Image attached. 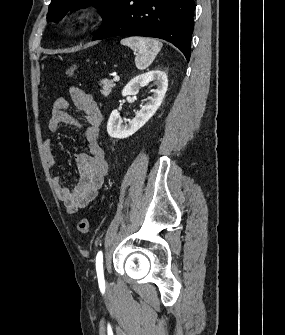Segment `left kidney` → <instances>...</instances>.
<instances>
[{
    "label": "left kidney",
    "instance_id": "obj_1",
    "mask_svg": "<svg viewBox=\"0 0 285 335\" xmlns=\"http://www.w3.org/2000/svg\"><path fill=\"white\" fill-rule=\"evenodd\" d=\"M148 82H154L157 86L156 90H154V96L148 98L149 102L145 106H142L140 112H137L135 118L129 124H123L118 110L111 112L107 122V132L111 138H119V140L121 138H129L137 130H140L152 118L153 114L157 112L159 106H161L168 88L167 76L161 70H152V72H147V74L136 76L123 88L122 96H135V94H138V90L146 86Z\"/></svg>",
    "mask_w": 285,
    "mask_h": 335
}]
</instances>
